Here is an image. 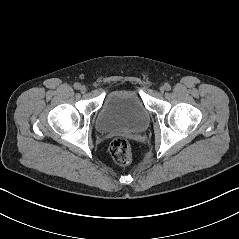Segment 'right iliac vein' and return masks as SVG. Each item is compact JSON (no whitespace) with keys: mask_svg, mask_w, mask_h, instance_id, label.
Wrapping results in <instances>:
<instances>
[{"mask_svg":"<svg viewBox=\"0 0 239 239\" xmlns=\"http://www.w3.org/2000/svg\"><path fill=\"white\" fill-rule=\"evenodd\" d=\"M80 92L81 93H85L86 92V87L85 86H81L80 87Z\"/></svg>","mask_w":239,"mask_h":239,"instance_id":"right-iliac-vein-1","label":"right iliac vein"}]
</instances>
